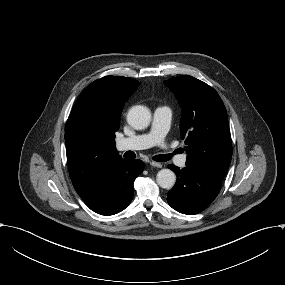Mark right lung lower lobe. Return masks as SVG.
Listing matches in <instances>:
<instances>
[{
	"instance_id": "98d812e1",
	"label": "right lung lower lobe",
	"mask_w": 285,
	"mask_h": 285,
	"mask_svg": "<svg viewBox=\"0 0 285 285\" xmlns=\"http://www.w3.org/2000/svg\"><path fill=\"white\" fill-rule=\"evenodd\" d=\"M143 167L141 160L123 159L83 201L101 215H113L124 210L132 200L133 183Z\"/></svg>"
}]
</instances>
